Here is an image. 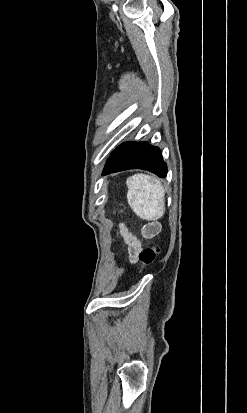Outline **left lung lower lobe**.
<instances>
[{
    "mask_svg": "<svg viewBox=\"0 0 247 413\" xmlns=\"http://www.w3.org/2000/svg\"><path fill=\"white\" fill-rule=\"evenodd\" d=\"M128 169H146L162 178L167 175V165L159 148L146 142H130L119 146L108 159L103 175Z\"/></svg>",
    "mask_w": 247,
    "mask_h": 413,
    "instance_id": "0a47b994",
    "label": "left lung lower lobe"
}]
</instances>
